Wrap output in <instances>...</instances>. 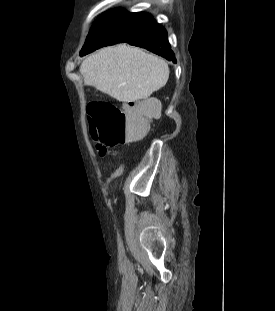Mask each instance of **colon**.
<instances>
[{"mask_svg": "<svg viewBox=\"0 0 275 311\" xmlns=\"http://www.w3.org/2000/svg\"><path fill=\"white\" fill-rule=\"evenodd\" d=\"M159 115L158 107L151 102L130 103L123 108L98 100L87 107L90 134L97 142L100 156H105L109 149L144 137L149 123Z\"/></svg>", "mask_w": 275, "mask_h": 311, "instance_id": "1", "label": "colon"}]
</instances>
